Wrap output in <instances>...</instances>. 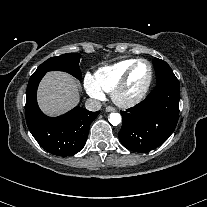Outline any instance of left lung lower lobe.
<instances>
[{
    "label": "left lung lower lobe",
    "instance_id": "0a47b994",
    "mask_svg": "<svg viewBox=\"0 0 207 207\" xmlns=\"http://www.w3.org/2000/svg\"><path fill=\"white\" fill-rule=\"evenodd\" d=\"M179 81L159 83L136 106L122 111L119 139L127 149L146 153L164 143L175 130L179 115Z\"/></svg>",
    "mask_w": 207,
    "mask_h": 207
}]
</instances>
